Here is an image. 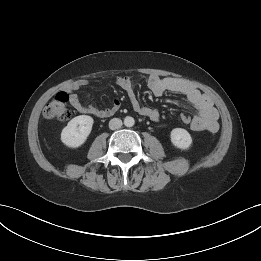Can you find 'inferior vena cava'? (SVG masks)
I'll list each match as a JSON object with an SVG mask.
<instances>
[{"instance_id":"602c4592","label":"inferior vena cava","mask_w":261,"mask_h":261,"mask_svg":"<svg viewBox=\"0 0 261 261\" xmlns=\"http://www.w3.org/2000/svg\"><path fill=\"white\" fill-rule=\"evenodd\" d=\"M122 126V120L119 118H113L109 122V128L111 130L119 129Z\"/></svg>"}]
</instances>
